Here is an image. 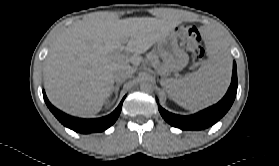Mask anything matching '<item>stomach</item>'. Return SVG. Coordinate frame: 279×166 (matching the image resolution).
<instances>
[{
  "instance_id": "obj_1",
  "label": "stomach",
  "mask_w": 279,
  "mask_h": 166,
  "mask_svg": "<svg viewBox=\"0 0 279 166\" xmlns=\"http://www.w3.org/2000/svg\"><path fill=\"white\" fill-rule=\"evenodd\" d=\"M163 70L167 73L182 70L189 62L188 54L178 45L174 32L169 33L157 42Z\"/></svg>"
}]
</instances>
